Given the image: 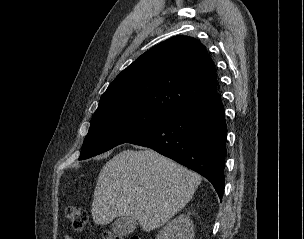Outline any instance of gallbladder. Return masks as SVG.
Wrapping results in <instances>:
<instances>
[{
  "mask_svg": "<svg viewBox=\"0 0 304 239\" xmlns=\"http://www.w3.org/2000/svg\"><path fill=\"white\" fill-rule=\"evenodd\" d=\"M137 220L132 216L117 218L112 224V231L119 236H126L132 233L137 227Z\"/></svg>",
  "mask_w": 304,
  "mask_h": 239,
  "instance_id": "1",
  "label": "gallbladder"
}]
</instances>
